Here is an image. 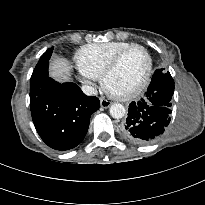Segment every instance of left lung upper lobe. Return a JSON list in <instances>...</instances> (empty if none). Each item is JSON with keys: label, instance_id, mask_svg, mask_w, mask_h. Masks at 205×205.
Here are the masks:
<instances>
[{"label": "left lung upper lobe", "instance_id": "obj_1", "mask_svg": "<svg viewBox=\"0 0 205 205\" xmlns=\"http://www.w3.org/2000/svg\"><path fill=\"white\" fill-rule=\"evenodd\" d=\"M156 89L162 90L163 97H166V104L171 102L172 95L174 93V80L171 77L169 72L164 71L163 69H158L155 71L152 81L148 87V90L145 94V98L153 96V92Z\"/></svg>", "mask_w": 205, "mask_h": 205}]
</instances>
